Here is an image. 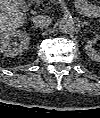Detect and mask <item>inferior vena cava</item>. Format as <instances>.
<instances>
[{
  "instance_id": "obj_1",
  "label": "inferior vena cava",
  "mask_w": 100,
  "mask_h": 118,
  "mask_svg": "<svg viewBox=\"0 0 100 118\" xmlns=\"http://www.w3.org/2000/svg\"><path fill=\"white\" fill-rule=\"evenodd\" d=\"M51 21V18L47 15H37L32 19L33 25L37 28L47 27Z\"/></svg>"
}]
</instances>
